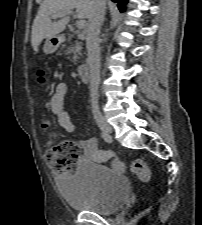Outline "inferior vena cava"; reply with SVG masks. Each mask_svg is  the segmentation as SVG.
<instances>
[{
	"instance_id": "obj_1",
	"label": "inferior vena cava",
	"mask_w": 202,
	"mask_h": 225,
	"mask_svg": "<svg viewBox=\"0 0 202 225\" xmlns=\"http://www.w3.org/2000/svg\"><path fill=\"white\" fill-rule=\"evenodd\" d=\"M104 15V0H95L94 11L89 18L86 35L87 63L90 70V98L94 110H98V86L100 82V47L98 40Z\"/></svg>"
}]
</instances>
